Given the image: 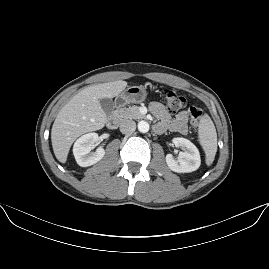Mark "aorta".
Returning <instances> with one entry per match:
<instances>
[{"label": "aorta", "instance_id": "aorta-1", "mask_svg": "<svg viewBox=\"0 0 269 269\" xmlns=\"http://www.w3.org/2000/svg\"><path fill=\"white\" fill-rule=\"evenodd\" d=\"M138 130L140 132H147L149 130V124L147 121L141 120L138 122Z\"/></svg>", "mask_w": 269, "mask_h": 269}]
</instances>
